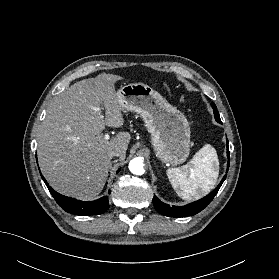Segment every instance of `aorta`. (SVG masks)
<instances>
[{"mask_svg":"<svg viewBox=\"0 0 279 279\" xmlns=\"http://www.w3.org/2000/svg\"><path fill=\"white\" fill-rule=\"evenodd\" d=\"M129 170L135 175H142L145 173L143 160L141 158H134L129 162Z\"/></svg>","mask_w":279,"mask_h":279,"instance_id":"obj_1","label":"aorta"}]
</instances>
